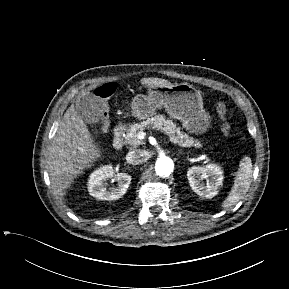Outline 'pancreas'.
<instances>
[{
    "label": "pancreas",
    "instance_id": "cf45deb5",
    "mask_svg": "<svg viewBox=\"0 0 289 289\" xmlns=\"http://www.w3.org/2000/svg\"><path fill=\"white\" fill-rule=\"evenodd\" d=\"M149 128L160 130L169 136L171 142L178 144L179 146H201L197 140L182 132L180 127H177L172 120L166 119L163 115H155L154 117L148 118L145 121L130 125L125 136L126 142L133 147L142 144L141 140L137 138L138 132Z\"/></svg>",
    "mask_w": 289,
    "mask_h": 289
}]
</instances>
